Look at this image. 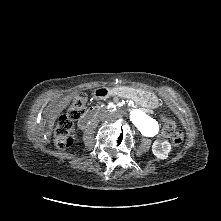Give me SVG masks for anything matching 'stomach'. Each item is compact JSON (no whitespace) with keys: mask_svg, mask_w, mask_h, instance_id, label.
Instances as JSON below:
<instances>
[{"mask_svg":"<svg viewBox=\"0 0 221 221\" xmlns=\"http://www.w3.org/2000/svg\"><path fill=\"white\" fill-rule=\"evenodd\" d=\"M121 93L124 96L133 97L137 101L148 106L152 105L157 100L156 96L153 93L142 90V89L123 87L121 88Z\"/></svg>","mask_w":221,"mask_h":221,"instance_id":"0dacf381","label":"stomach"}]
</instances>
